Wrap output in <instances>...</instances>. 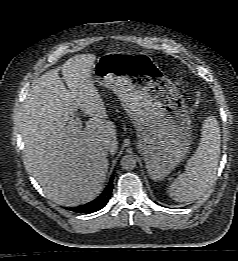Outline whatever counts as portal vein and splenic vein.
Instances as JSON below:
<instances>
[{
  "instance_id": "1",
  "label": "portal vein and splenic vein",
  "mask_w": 238,
  "mask_h": 261,
  "mask_svg": "<svg viewBox=\"0 0 238 261\" xmlns=\"http://www.w3.org/2000/svg\"><path fill=\"white\" fill-rule=\"evenodd\" d=\"M70 126L73 129H79L81 127V120L77 117L75 120L70 121Z\"/></svg>"
}]
</instances>
